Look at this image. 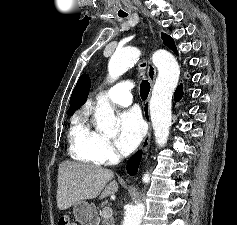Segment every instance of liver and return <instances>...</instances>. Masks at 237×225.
Returning a JSON list of instances; mask_svg holds the SVG:
<instances>
[{"instance_id": "liver-1", "label": "liver", "mask_w": 237, "mask_h": 225, "mask_svg": "<svg viewBox=\"0 0 237 225\" xmlns=\"http://www.w3.org/2000/svg\"><path fill=\"white\" fill-rule=\"evenodd\" d=\"M113 176L111 170L96 165L62 162L58 169L57 207L67 210L79 201L115 194L118 184L111 181Z\"/></svg>"}]
</instances>
